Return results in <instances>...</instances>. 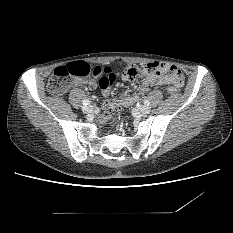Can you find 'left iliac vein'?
<instances>
[{
  "label": "left iliac vein",
  "instance_id": "4c4485c4",
  "mask_svg": "<svg viewBox=\"0 0 233 233\" xmlns=\"http://www.w3.org/2000/svg\"><path fill=\"white\" fill-rule=\"evenodd\" d=\"M137 110L142 114H148L151 112V108L146 105H140Z\"/></svg>",
  "mask_w": 233,
  "mask_h": 233
}]
</instances>
